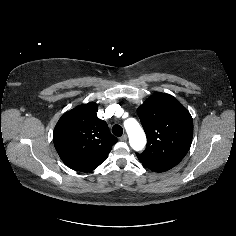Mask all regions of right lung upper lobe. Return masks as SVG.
I'll use <instances>...</instances> for the list:
<instances>
[{"mask_svg":"<svg viewBox=\"0 0 236 236\" xmlns=\"http://www.w3.org/2000/svg\"><path fill=\"white\" fill-rule=\"evenodd\" d=\"M94 102L66 112L57 122L53 142L61 160L71 169L91 172L103 163L118 141L105 121L97 117Z\"/></svg>","mask_w":236,"mask_h":236,"instance_id":"obj_1","label":"right lung upper lobe"}]
</instances>
